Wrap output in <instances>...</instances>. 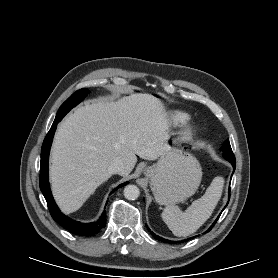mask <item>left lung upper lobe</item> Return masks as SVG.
Listing matches in <instances>:
<instances>
[{
  "mask_svg": "<svg viewBox=\"0 0 278 278\" xmlns=\"http://www.w3.org/2000/svg\"><path fill=\"white\" fill-rule=\"evenodd\" d=\"M221 149L223 151V155H224V158L226 160L236 162L235 161V156H234V154L232 152V149H231V146H230V142H229L228 139L224 142V144H223Z\"/></svg>",
  "mask_w": 278,
  "mask_h": 278,
  "instance_id": "1",
  "label": "left lung upper lobe"
}]
</instances>
